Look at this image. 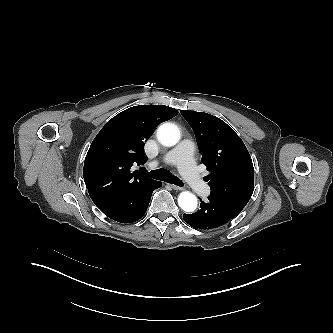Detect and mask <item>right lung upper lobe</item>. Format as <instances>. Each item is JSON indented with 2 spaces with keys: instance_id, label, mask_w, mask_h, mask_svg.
I'll return each instance as SVG.
<instances>
[{
  "instance_id": "cb5924a9",
  "label": "right lung upper lobe",
  "mask_w": 333,
  "mask_h": 333,
  "mask_svg": "<svg viewBox=\"0 0 333 333\" xmlns=\"http://www.w3.org/2000/svg\"><path fill=\"white\" fill-rule=\"evenodd\" d=\"M178 114L165 105H140L114 116L93 140L84 163L83 177L99 209L112 206L153 180L132 171L147 161L144 142L155 128Z\"/></svg>"
}]
</instances>
